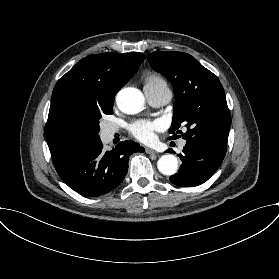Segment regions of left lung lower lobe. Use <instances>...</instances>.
<instances>
[{
  "label": "left lung lower lobe",
  "mask_w": 279,
  "mask_h": 279,
  "mask_svg": "<svg viewBox=\"0 0 279 279\" xmlns=\"http://www.w3.org/2000/svg\"><path fill=\"white\" fill-rule=\"evenodd\" d=\"M182 165L171 183L177 186L194 187L207 181L221 165L227 150V144L211 139L186 140Z\"/></svg>",
  "instance_id": "left-lung-lower-lobe-1"
}]
</instances>
